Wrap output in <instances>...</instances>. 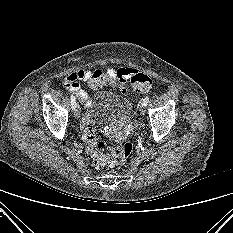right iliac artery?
Listing matches in <instances>:
<instances>
[{
	"instance_id": "obj_1",
	"label": "right iliac artery",
	"mask_w": 233,
	"mask_h": 233,
	"mask_svg": "<svg viewBox=\"0 0 233 233\" xmlns=\"http://www.w3.org/2000/svg\"><path fill=\"white\" fill-rule=\"evenodd\" d=\"M71 105H72V109H75V105H76V99L74 95H71Z\"/></svg>"
}]
</instances>
